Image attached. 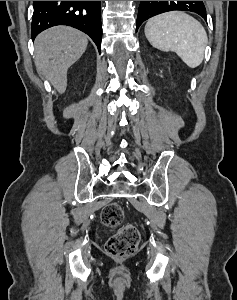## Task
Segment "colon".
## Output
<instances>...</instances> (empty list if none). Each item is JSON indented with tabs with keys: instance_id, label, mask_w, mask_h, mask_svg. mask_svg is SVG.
Instances as JSON below:
<instances>
[{
	"instance_id": "5ec220e1",
	"label": "colon",
	"mask_w": 237,
	"mask_h": 300,
	"mask_svg": "<svg viewBox=\"0 0 237 300\" xmlns=\"http://www.w3.org/2000/svg\"><path fill=\"white\" fill-rule=\"evenodd\" d=\"M123 218V209L117 202L107 204L101 211V221L107 227H119ZM139 240L138 229L133 224H126L107 240L105 251L110 256L126 258L136 251Z\"/></svg>"
}]
</instances>
